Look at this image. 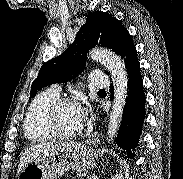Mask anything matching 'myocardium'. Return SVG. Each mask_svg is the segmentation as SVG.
<instances>
[{
    "mask_svg": "<svg viewBox=\"0 0 183 179\" xmlns=\"http://www.w3.org/2000/svg\"><path fill=\"white\" fill-rule=\"evenodd\" d=\"M64 105H76L81 108L80 102L72 97H58L47 108L44 114V127L47 132L54 138L69 139L79 135L83 129V125L76 131L70 133H63L58 131L55 126V118L61 107Z\"/></svg>",
    "mask_w": 183,
    "mask_h": 179,
    "instance_id": "myocardium-1",
    "label": "myocardium"
}]
</instances>
